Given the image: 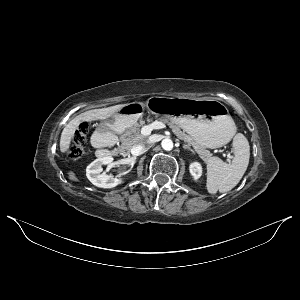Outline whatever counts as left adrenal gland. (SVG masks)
<instances>
[{"label": "left adrenal gland", "mask_w": 300, "mask_h": 300, "mask_svg": "<svg viewBox=\"0 0 300 300\" xmlns=\"http://www.w3.org/2000/svg\"><path fill=\"white\" fill-rule=\"evenodd\" d=\"M183 148L191 151L192 153H195L194 150L189 145L184 144Z\"/></svg>", "instance_id": "a2214340"}]
</instances>
